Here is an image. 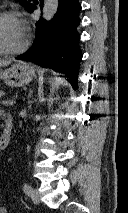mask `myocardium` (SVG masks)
Instances as JSON below:
<instances>
[{
    "label": "myocardium",
    "instance_id": "obj_1",
    "mask_svg": "<svg viewBox=\"0 0 128 213\" xmlns=\"http://www.w3.org/2000/svg\"><path fill=\"white\" fill-rule=\"evenodd\" d=\"M6 18H17V13L14 11H2L0 12V22ZM29 45V35H25V40L21 46L15 49H7L0 45V55H15L19 54L27 49Z\"/></svg>",
    "mask_w": 128,
    "mask_h": 213
}]
</instances>
